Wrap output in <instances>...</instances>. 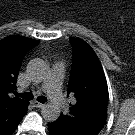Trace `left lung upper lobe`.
Wrapping results in <instances>:
<instances>
[{"label": "left lung upper lobe", "instance_id": "obj_1", "mask_svg": "<svg viewBox=\"0 0 135 135\" xmlns=\"http://www.w3.org/2000/svg\"><path fill=\"white\" fill-rule=\"evenodd\" d=\"M73 47L71 77L68 94L73 93L76 102L70 113H63L56 120L80 135H97L107 118L108 87L98 57L88 43L70 39Z\"/></svg>", "mask_w": 135, "mask_h": 135}]
</instances>
